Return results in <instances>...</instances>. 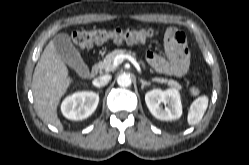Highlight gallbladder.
Returning a JSON list of instances; mask_svg holds the SVG:
<instances>
[{"mask_svg": "<svg viewBox=\"0 0 249 165\" xmlns=\"http://www.w3.org/2000/svg\"><path fill=\"white\" fill-rule=\"evenodd\" d=\"M54 45L60 58L79 76L85 77L88 75L89 68L81 57L79 51L73 45L68 34H58L54 38Z\"/></svg>", "mask_w": 249, "mask_h": 165, "instance_id": "gallbladder-1", "label": "gallbladder"}]
</instances>
